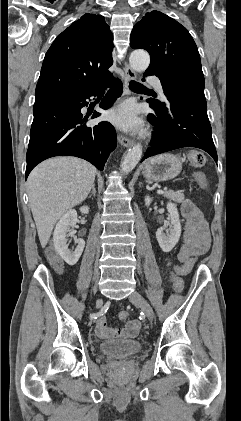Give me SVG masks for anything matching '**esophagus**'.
<instances>
[{
    "label": "esophagus",
    "instance_id": "obj_1",
    "mask_svg": "<svg viewBox=\"0 0 241 421\" xmlns=\"http://www.w3.org/2000/svg\"><path fill=\"white\" fill-rule=\"evenodd\" d=\"M125 80L126 83H129L132 80L136 79V73L135 71L125 62ZM126 92L129 93V90L126 89ZM118 141L119 143L123 146V147H130L133 145V140L124 136V135H119L118 136Z\"/></svg>",
    "mask_w": 241,
    "mask_h": 421
}]
</instances>
